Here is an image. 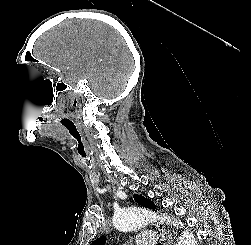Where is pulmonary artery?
<instances>
[{
  "label": "pulmonary artery",
  "instance_id": "1",
  "mask_svg": "<svg viewBox=\"0 0 251 245\" xmlns=\"http://www.w3.org/2000/svg\"><path fill=\"white\" fill-rule=\"evenodd\" d=\"M157 234L155 232H143L136 238L137 245H155Z\"/></svg>",
  "mask_w": 251,
  "mask_h": 245
}]
</instances>
